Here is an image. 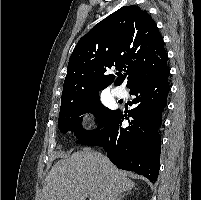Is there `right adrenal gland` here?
Segmentation results:
<instances>
[{"instance_id":"2a0ac1e0","label":"right adrenal gland","mask_w":201,"mask_h":200,"mask_svg":"<svg viewBox=\"0 0 201 200\" xmlns=\"http://www.w3.org/2000/svg\"><path fill=\"white\" fill-rule=\"evenodd\" d=\"M125 196V194L123 193V194H121L118 198H117V200H122V198Z\"/></svg>"}]
</instances>
